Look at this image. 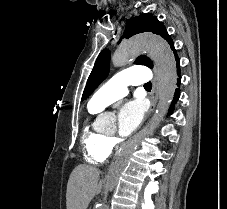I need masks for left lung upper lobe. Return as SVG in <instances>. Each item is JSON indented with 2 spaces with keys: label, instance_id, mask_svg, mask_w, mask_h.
Listing matches in <instances>:
<instances>
[{
  "label": "left lung upper lobe",
  "instance_id": "1",
  "mask_svg": "<svg viewBox=\"0 0 227 209\" xmlns=\"http://www.w3.org/2000/svg\"><path fill=\"white\" fill-rule=\"evenodd\" d=\"M143 32H152L154 34L160 35L162 38L167 40L170 46H174L170 35L167 33L163 23L157 20L155 16L151 13L141 14L139 16L129 19L126 23V28L122 38H129L133 35L143 33ZM119 40V42L121 41ZM111 52L108 49L101 51L93 70L88 78L86 87L82 95V101L85 100L96 88L97 86L107 77L109 72V61H110ZM135 64L146 65L150 68L153 67L152 61L146 56H139Z\"/></svg>",
  "mask_w": 227,
  "mask_h": 209
}]
</instances>
